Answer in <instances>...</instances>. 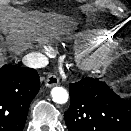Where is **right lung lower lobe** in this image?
<instances>
[{
	"instance_id": "1",
	"label": "right lung lower lobe",
	"mask_w": 131,
	"mask_h": 131,
	"mask_svg": "<svg viewBox=\"0 0 131 131\" xmlns=\"http://www.w3.org/2000/svg\"><path fill=\"white\" fill-rule=\"evenodd\" d=\"M40 89L31 68L4 65L0 69V131H22L31 101Z\"/></svg>"
}]
</instances>
